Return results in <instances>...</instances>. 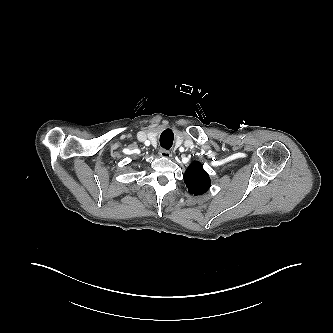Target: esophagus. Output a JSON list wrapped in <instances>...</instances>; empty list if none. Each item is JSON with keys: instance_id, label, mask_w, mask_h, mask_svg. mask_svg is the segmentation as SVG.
Here are the masks:
<instances>
[{"instance_id": "esophagus-1", "label": "esophagus", "mask_w": 333, "mask_h": 333, "mask_svg": "<svg viewBox=\"0 0 333 333\" xmlns=\"http://www.w3.org/2000/svg\"><path fill=\"white\" fill-rule=\"evenodd\" d=\"M159 155L162 157V158H171L172 157V154L166 150V149H161L159 151Z\"/></svg>"}]
</instances>
